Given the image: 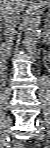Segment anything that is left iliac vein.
<instances>
[{"instance_id": "left-iliac-vein-1", "label": "left iliac vein", "mask_w": 50, "mask_h": 148, "mask_svg": "<svg viewBox=\"0 0 50 148\" xmlns=\"http://www.w3.org/2000/svg\"><path fill=\"white\" fill-rule=\"evenodd\" d=\"M44 137V134H43V131H42V128L41 127H38L37 129V134H36V138L38 140H42Z\"/></svg>"}]
</instances>
